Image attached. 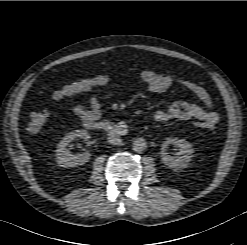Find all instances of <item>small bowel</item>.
Masks as SVG:
<instances>
[{
    "label": "small bowel",
    "mask_w": 247,
    "mask_h": 245,
    "mask_svg": "<svg viewBox=\"0 0 247 245\" xmlns=\"http://www.w3.org/2000/svg\"><path fill=\"white\" fill-rule=\"evenodd\" d=\"M139 76L145 85L146 91L150 94L165 92L177 82L194 94L203 104V106H201L185 101H175L171 103L168 108L155 111L154 119L156 121L166 122L175 119L180 121H205L213 125L218 123L219 116L214 110L213 101L209 93L197 83L186 79L175 78L172 74L159 73L151 69L141 71ZM116 94V89L110 88L102 96H92L87 105L76 104L73 107V113L79 117L83 123L96 121L102 114V102L114 99Z\"/></svg>",
    "instance_id": "1"
}]
</instances>
